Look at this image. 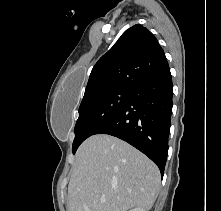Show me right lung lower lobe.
I'll return each instance as SVG.
<instances>
[{
  "instance_id": "obj_1",
  "label": "right lung lower lobe",
  "mask_w": 221,
  "mask_h": 211,
  "mask_svg": "<svg viewBox=\"0 0 221 211\" xmlns=\"http://www.w3.org/2000/svg\"><path fill=\"white\" fill-rule=\"evenodd\" d=\"M173 84L170 70L131 88L119 112L96 134L118 137L148 156L164 175L172 114Z\"/></svg>"
}]
</instances>
